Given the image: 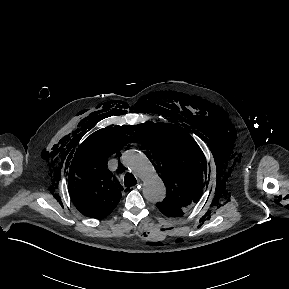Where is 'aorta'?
Masks as SVG:
<instances>
[{
	"mask_svg": "<svg viewBox=\"0 0 289 289\" xmlns=\"http://www.w3.org/2000/svg\"><path fill=\"white\" fill-rule=\"evenodd\" d=\"M121 162L142 180L143 195L148 201L160 202L165 198V185L143 152L128 150L122 155Z\"/></svg>",
	"mask_w": 289,
	"mask_h": 289,
	"instance_id": "1",
	"label": "aorta"
}]
</instances>
